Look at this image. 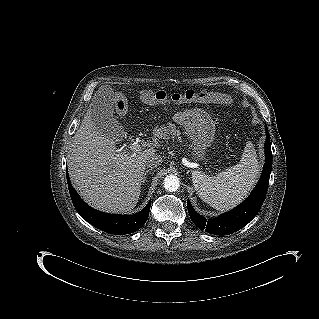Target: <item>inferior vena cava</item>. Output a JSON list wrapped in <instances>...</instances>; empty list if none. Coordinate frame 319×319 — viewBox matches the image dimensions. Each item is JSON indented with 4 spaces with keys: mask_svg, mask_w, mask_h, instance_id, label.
Returning <instances> with one entry per match:
<instances>
[{
    "mask_svg": "<svg viewBox=\"0 0 319 319\" xmlns=\"http://www.w3.org/2000/svg\"><path fill=\"white\" fill-rule=\"evenodd\" d=\"M162 157L158 154H153L151 155L147 160H146V166L148 168H155L162 163Z\"/></svg>",
    "mask_w": 319,
    "mask_h": 319,
    "instance_id": "1",
    "label": "inferior vena cava"
}]
</instances>
